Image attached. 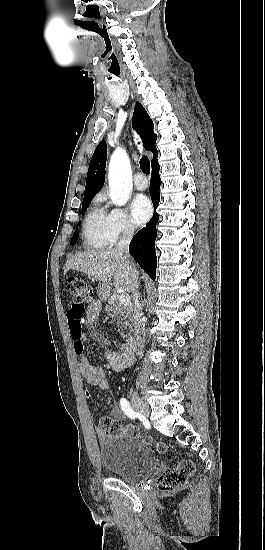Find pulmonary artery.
Masks as SVG:
<instances>
[{
    "label": "pulmonary artery",
    "mask_w": 265,
    "mask_h": 550,
    "mask_svg": "<svg viewBox=\"0 0 265 550\" xmlns=\"http://www.w3.org/2000/svg\"><path fill=\"white\" fill-rule=\"evenodd\" d=\"M134 187L137 190H145L148 187V181L143 173L136 174L134 178Z\"/></svg>",
    "instance_id": "1"
}]
</instances>
